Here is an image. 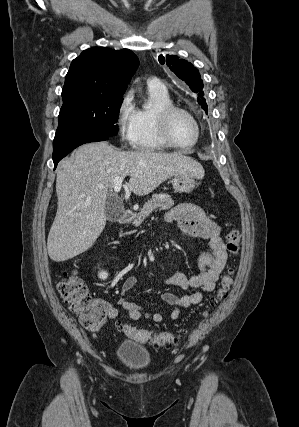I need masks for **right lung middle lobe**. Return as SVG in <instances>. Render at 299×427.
<instances>
[{
  "label": "right lung middle lobe",
  "instance_id": "dd1d6c3e",
  "mask_svg": "<svg viewBox=\"0 0 299 427\" xmlns=\"http://www.w3.org/2000/svg\"><path fill=\"white\" fill-rule=\"evenodd\" d=\"M122 101L121 95L97 94H81L63 99L53 147L77 138L116 135Z\"/></svg>",
  "mask_w": 299,
  "mask_h": 427
}]
</instances>
